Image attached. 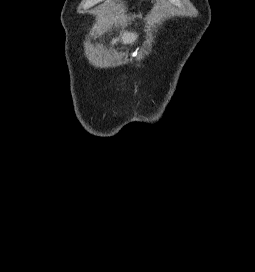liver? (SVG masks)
<instances>
[{
  "label": "liver",
  "mask_w": 255,
  "mask_h": 272,
  "mask_svg": "<svg viewBox=\"0 0 255 272\" xmlns=\"http://www.w3.org/2000/svg\"><path fill=\"white\" fill-rule=\"evenodd\" d=\"M137 34L136 33H131V32H125L122 35V42L124 44H128V43H133L136 39H137ZM117 42V39H114L112 41V44H115Z\"/></svg>",
  "instance_id": "liver-1"
}]
</instances>
